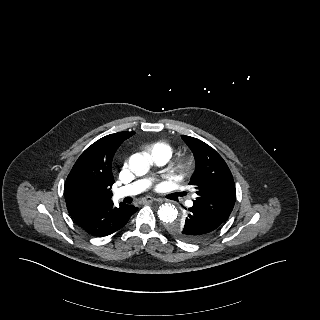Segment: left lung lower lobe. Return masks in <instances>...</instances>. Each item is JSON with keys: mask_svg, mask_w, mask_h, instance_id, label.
<instances>
[{"mask_svg": "<svg viewBox=\"0 0 320 320\" xmlns=\"http://www.w3.org/2000/svg\"><path fill=\"white\" fill-rule=\"evenodd\" d=\"M223 223L194 205L188 209V214L183 219L186 233L197 239V241L213 234Z\"/></svg>", "mask_w": 320, "mask_h": 320, "instance_id": "0a47b994", "label": "left lung lower lobe"}]
</instances>
